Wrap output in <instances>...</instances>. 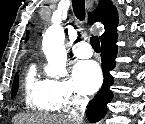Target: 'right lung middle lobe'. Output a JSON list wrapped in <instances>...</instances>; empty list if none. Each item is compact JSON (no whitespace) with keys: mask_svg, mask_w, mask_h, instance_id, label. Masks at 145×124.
Wrapping results in <instances>:
<instances>
[{"mask_svg":"<svg viewBox=\"0 0 145 124\" xmlns=\"http://www.w3.org/2000/svg\"><path fill=\"white\" fill-rule=\"evenodd\" d=\"M18 85H19V79H18V75L16 74L14 78L13 86H12V92H11L12 97L16 95L17 90H18Z\"/></svg>","mask_w":145,"mask_h":124,"instance_id":"right-lung-middle-lobe-1","label":"right lung middle lobe"}]
</instances>
